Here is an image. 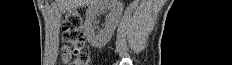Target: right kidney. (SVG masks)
Masks as SVG:
<instances>
[{
    "label": "right kidney",
    "mask_w": 232,
    "mask_h": 65,
    "mask_svg": "<svg viewBox=\"0 0 232 65\" xmlns=\"http://www.w3.org/2000/svg\"><path fill=\"white\" fill-rule=\"evenodd\" d=\"M123 7L121 0H96L88 7L84 23V35L93 47L102 48L110 41L122 15ZM106 11H109V13L104 29L96 34L93 27L96 16Z\"/></svg>",
    "instance_id": "obj_1"
}]
</instances>
